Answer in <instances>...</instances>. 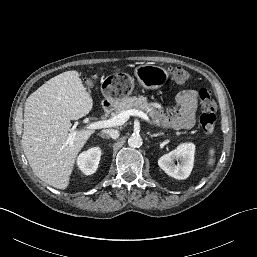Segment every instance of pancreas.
Returning <instances> with one entry per match:
<instances>
[{"mask_svg": "<svg viewBox=\"0 0 257 257\" xmlns=\"http://www.w3.org/2000/svg\"><path fill=\"white\" fill-rule=\"evenodd\" d=\"M131 109L144 110L156 121L158 120L160 115L159 111L155 108V105L153 103L148 102V99L144 96H133L125 98L115 107V114L118 115L123 111Z\"/></svg>", "mask_w": 257, "mask_h": 257, "instance_id": "cf45deb5", "label": "pancreas"}]
</instances>
